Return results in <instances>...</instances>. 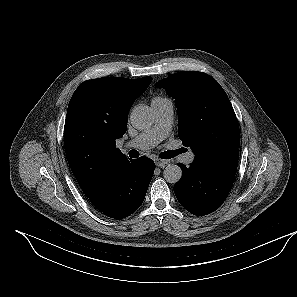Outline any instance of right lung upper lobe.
I'll use <instances>...</instances> for the list:
<instances>
[{
  "label": "right lung upper lobe",
  "instance_id": "1",
  "mask_svg": "<svg viewBox=\"0 0 297 297\" xmlns=\"http://www.w3.org/2000/svg\"><path fill=\"white\" fill-rule=\"evenodd\" d=\"M152 77H103L83 82L74 92L64 125L69 166L91 203L97 202L114 172L128 161L116 148L127 130V114Z\"/></svg>",
  "mask_w": 297,
  "mask_h": 297
}]
</instances>
